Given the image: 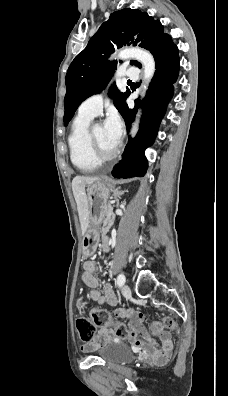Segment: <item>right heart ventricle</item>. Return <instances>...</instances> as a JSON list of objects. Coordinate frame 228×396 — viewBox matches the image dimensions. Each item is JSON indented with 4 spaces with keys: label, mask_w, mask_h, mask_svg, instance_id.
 <instances>
[{
    "label": "right heart ventricle",
    "mask_w": 228,
    "mask_h": 396,
    "mask_svg": "<svg viewBox=\"0 0 228 396\" xmlns=\"http://www.w3.org/2000/svg\"><path fill=\"white\" fill-rule=\"evenodd\" d=\"M92 118L91 115L78 113L68 137L71 161L74 166L85 173L93 172L100 166L89 148L88 131Z\"/></svg>",
    "instance_id": "e07e8e85"
}]
</instances>
